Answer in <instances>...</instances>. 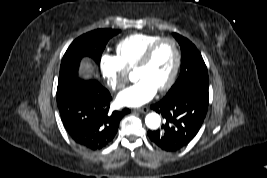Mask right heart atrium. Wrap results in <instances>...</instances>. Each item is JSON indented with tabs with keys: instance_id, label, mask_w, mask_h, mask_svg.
Wrapping results in <instances>:
<instances>
[{
	"instance_id": "obj_1",
	"label": "right heart atrium",
	"mask_w": 267,
	"mask_h": 178,
	"mask_svg": "<svg viewBox=\"0 0 267 178\" xmlns=\"http://www.w3.org/2000/svg\"><path fill=\"white\" fill-rule=\"evenodd\" d=\"M101 73L112 90L122 89L128 80V70L117 57L103 54L100 58Z\"/></svg>"
}]
</instances>
